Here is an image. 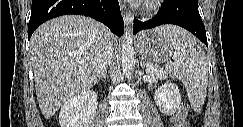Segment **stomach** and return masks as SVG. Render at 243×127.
<instances>
[{"label":"stomach","instance_id":"obj_1","mask_svg":"<svg viewBox=\"0 0 243 127\" xmlns=\"http://www.w3.org/2000/svg\"><path fill=\"white\" fill-rule=\"evenodd\" d=\"M144 31L138 36L137 47L142 57L155 63L169 62L173 56L171 40L163 33V28Z\"/></svg>","mask_w":243,"mask_h":127}]
</instances>
